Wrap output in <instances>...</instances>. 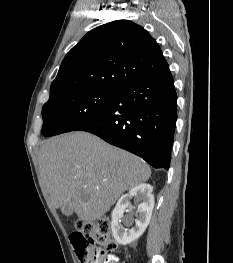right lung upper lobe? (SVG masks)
Returning a JSON list of instances; mask_svg holds the SVG:
<instances>
[{"instance_id": "1", "label": "right lung upper lobe", "mask_w": 233, "mask_h": 263, "mask_svg": "<svg viewBox=\"0 0 233 263\" xmlns=\"http://www.w3.org/2000/svg\"><path fill=\"white\" fill-rule=\"evenodd\" d=\"M167 70L160 46L144 28L116 20L88 32L67 53L50 97L87 88L119 90Z\"/></svg>"}]
</instances>
